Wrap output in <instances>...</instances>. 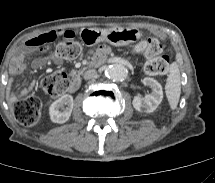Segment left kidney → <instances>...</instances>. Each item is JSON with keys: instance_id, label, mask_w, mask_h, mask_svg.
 <instances>
[{"instance_id": "left-kidney-1", "label": "left kidney", "mask_w": 215, "mask_h": 183, "mask_svg": "<svg viewBox=\"0 0 215 183\" xmlns=\"http://www.w3.org/2000/svg\"><path fill=\"white\" fill-rule=\"evenodd\" d=\"M143 84L151 88V94H147L145 97L135 96L132 104L137 111L151 113L156 110L163 99L162 86L150 77L144 78Z\"/></svg>"}]
</instances>
